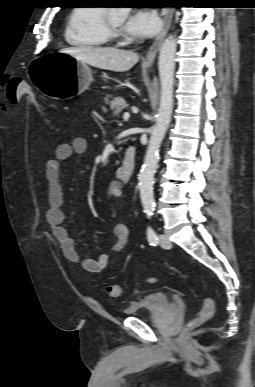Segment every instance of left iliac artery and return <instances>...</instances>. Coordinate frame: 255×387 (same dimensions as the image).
<instances>
[{"instance_id":"obj_1","label":"left iliac artery","mask_w":255,"mask_h":387,"mask_svg":"<svg viewBox=\"0 0 255 387\" xmlns=\"http://www.w3.org/2000/svg\"><path fill=\"white\" fill-rule=\"evenodd\" d=\"M147 239L150 245L156 246L158 244V237L152 227H147Z\"/></svg>"}]
</instances>
